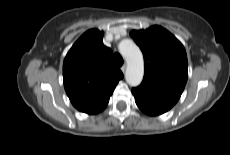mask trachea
<instances>
[{"mask_svg":"<svg viewBox=\"0 0 230 155\" xmlns=\"http://www.w3.org/2000/svg\"><path fill=\"white\" fill-rule=\"evenodd\" d=\"M113 62L116 66L120 67L123 64V58L120 54L116 53L113 55Z\"/></svg>","mask_w":230,"mask_h":155,"instance_id":"3493384b","label":"trachea"}]
</instances>
